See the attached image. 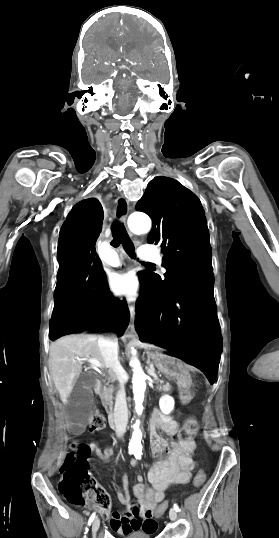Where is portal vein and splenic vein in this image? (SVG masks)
Listing matches in <instances>:
<instances>
[{
  "label": "portal vein and splenic vein",
  "instance_id": "obj_1",
  "mask_svg": "<svg viewBox=\"0 0 279 538\" xmlns=\"http://www.w3.org/2000/svg\"><path fill=\"white\" fill-rule=\"evenodd\" d=\"M82 360H87V358H82ZM88 362L89 364H92V366H96V368H102V364H100L98 360H94V358H90ZM157 383H165V380H157Z\"/></svg>",
  "mask_w": 279,
  "mask_h": 538
}]
</instances>
